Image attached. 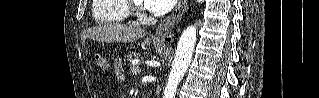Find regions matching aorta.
<instances>
[{
    "mask_svg": "<svg viewBox=\"0 0 319 98\" xmlns=\"http://www.w3.org/2000/svg\"><path fill=\"white\" fill-rule=\"evenodd\" d=\"M200 2V0H198ZM197 39L196 26H188L179 38L172 69L167 79L163 98H175L177 87L186 73Z\"/></svg>",
    "mask_w": 319,
    "mask_h": 98,
    "instance_id": "1",
    "label": "aorta"
}]
</instances>
